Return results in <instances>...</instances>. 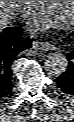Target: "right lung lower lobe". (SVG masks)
<instances>
[{
    "label": "right lung lower lobe",
    "mask_w": 74,
    "mask_h": 122,
    "mask_svg": "<svg viewBox=\"0 0 74 122\" xmlns=\"http://www.w3.org/2000/svg\"><path fill=\"white\" fill-rule=\"evenodd\" d=\"M32 47V41L24 38L21 27H8L0 31V98L8 95L12 89L11 65L26 49Z\"/></svg>",
    "instance_id": "98d812e1"
}]
</instances>
